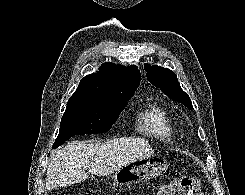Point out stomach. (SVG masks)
Masks as SVG:
<instances>
[{"label":"stomach","instance_id":"1","mask_svg":"<svg viewBox=\"0 0 245 195\" xmlns=\"http://www.w3.org/2000/svg\"><path fill=\"white\" fill-rule=\"evenodd\" d=\"M167 167V163L156 156L143 157L116 171L113 180L119 186H127L156 178L164 173Z\"/></svg>","mask_w":245,"mask_h":195}]
</instances>
